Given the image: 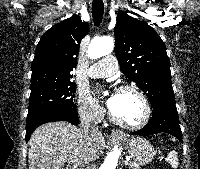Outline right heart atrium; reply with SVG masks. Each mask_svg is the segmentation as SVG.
Returning a JSON list of instances; mask_svg holds the SVG:
<instances>
[{"label": "right heart atrium", "mask_w": 200, "mask_h": 169, "mask_svg": "<svg viewBox=\"0 0 200 169\" xmlns=\"http://www.w3.org/2000/svg\"><path fill=\"white\" fill-rule=\"evenodd\" d=\"M77 112L82 119L89 122L99 123L105 118V110L86 93L78 94Z\"/></svg>", "instance_id": "1"}]
</instances>
